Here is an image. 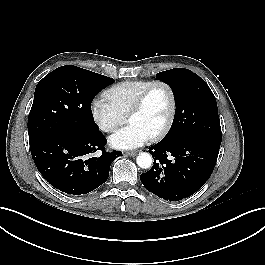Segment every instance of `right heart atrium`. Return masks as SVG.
<instances>
[{
	"label": "right heart atrium",
	"mask_w": 265,
	"mask_h": 265,
	"mask_svg": "<svg viewBox=\"0 0 265 265\" xmlns=\"http://www.w3.org/2000/svg\"><path fill=\"white\" fill-rule=\"evenodd\" d=\"M91 116L97 127L106 133L114 132L126 121L124 115L102 98H95L92 101Z\"/></svg>",
	"instance_id": "right-heart-atrium-1"
}]
</instances>
